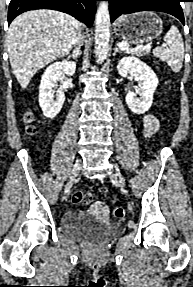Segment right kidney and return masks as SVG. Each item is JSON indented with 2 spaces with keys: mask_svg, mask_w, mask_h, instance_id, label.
<instances>
[{
  "mask_svg": "<svg viewBox=\"0 0 193 287\" xmlns=\"http://www.w3.org/2000/svg\"><path fill=\"white\" fill-rule=\"evenodd\" d=\"M76 63L63 60L49 65L44 71L39 86V105L47 118H54L61 111L65 101L62 88L55 91V83L62 80L63 75H74Z\"/></svg>",
  "mask_w": 193,
  "mask_h": 287,
  "instance_id": "right-kidney-1",
  "label": "right kidney"
}]
</instances>
